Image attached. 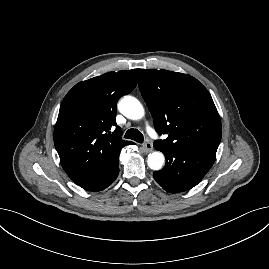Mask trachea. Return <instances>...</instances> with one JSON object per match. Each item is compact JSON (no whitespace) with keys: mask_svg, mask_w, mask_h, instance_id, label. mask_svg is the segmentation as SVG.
Returning a JSON list of instances; mask_svg holds the SVG:
<instances>
[{"mask_svg":"<svg viewBox=\"0 0 269 269\" xmlns=\"http://www.w3.org/2000/svg\"><path fill=\"white\" fill-rule=\"evenodd\" d=\"M124 138L134 140L138 143H143L144 141L142 133L137 129H129L124 135Z\"/></svg>","mask_w":269,"mask_h":269,"instance_id":"1","label":"trachea"}]
</instances>
